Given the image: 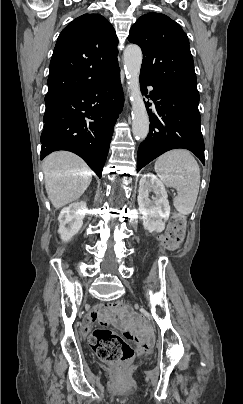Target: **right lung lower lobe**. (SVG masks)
I'll return each instance as SVG.
<instances>
[{
	"label": "right lung lower lobe",
	"mask_w": 243,
	"mask_h": 404,
	"mask_svg": "<svg viewBox=\"0 0 243 404\" xmlns=\"http://www.w3.org/2000/svg\"><path fill=\"white\" fill-rule=\"evenodd\" d=\"M123 103L120 71L81 91L46 100L41 159L56 150L71 151L101 178Z\"/></svg>",
	"instance_id": "98d812e1"
}]
</instances>
